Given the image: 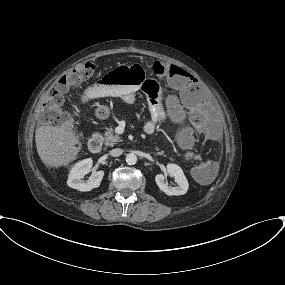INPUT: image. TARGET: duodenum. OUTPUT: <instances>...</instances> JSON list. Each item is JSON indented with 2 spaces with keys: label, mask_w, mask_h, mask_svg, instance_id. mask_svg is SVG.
<instances>
[{
  "label": "duodenum",
  "mask_w": 285,
  "mask_h": 285,
  "mask_svg": "<svg viewBox=\"0 0 285 285\" xmlns=\"http://www.w3.org/2000/svg\"><path fill=\"white\" fill-rule=\"evenodd\" d=\"M103 138L99 132H96L92 135L89 140V149L93 153H97L102 149Z\"/></svg>",
  "instance_id": "1"
}]
</instances>
